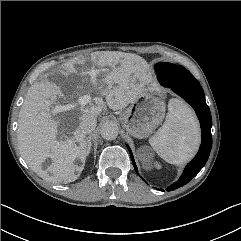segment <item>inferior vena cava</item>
Wrapping results in <instances>:
<instances>
[{"instance_id": "inferior-vena-cava-1", "label": "inferior vena cava", "mask_w": 241, "mask_h": 241, "mask_svg": "<svg viewBox=\"0 0 241 241\" xmlns=\"http://www.w3.org/2000/svg\"><path fill=\"white\" fill-rule=\"evenodd\" d=\"M97 124V119L91 114H84L79 124V129L83 134L91 133Z\"/></svg>"}]
</instances>
